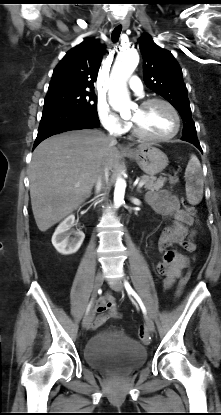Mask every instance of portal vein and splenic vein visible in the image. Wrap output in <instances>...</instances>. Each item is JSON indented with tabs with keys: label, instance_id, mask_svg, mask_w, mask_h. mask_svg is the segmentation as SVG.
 <instances>
[{
	"label": "portal vein and splenic vein",
	"instance_id": "18ae733b",
	"mask_svg": "<svg viewBox=\"0 0 221 415\" xmlns=\"http://www.w3.org/2000/svg\"><path fill=\"white\" fill-rule=\"evenodd\" d=\"M144 183H145V181H144V180H140V181L138 182V188H141V187L144 185ZM76 186H78V185H76Z\"/></svg>",
	"mask_w": 221,
	"mask_h": 415
}]
</instances>
